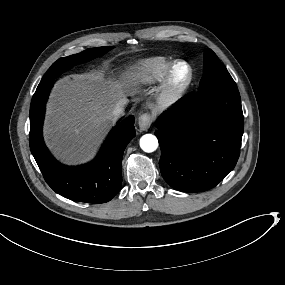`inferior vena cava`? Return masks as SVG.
Instances as JSON below:
<instances>
[{
	"mask_svg": "<svg viewBox=\"0 0 285 285\" xmlns=\"http://www.w3.org/2000/svg\"><path fill=\"white\" fill-rule=\"evenodd\" d=\"M128 104L127 99H122L118 102L117 106L114 108V110L111 113V118L113 121H115L117 118L121 117L124 114L125 106Z\"/></svg>",
	"mask_w": 285,
	"mask_h": 285,
	"instance_id": "1",
	"label": "inferior vena cava"
}]
</instances>
